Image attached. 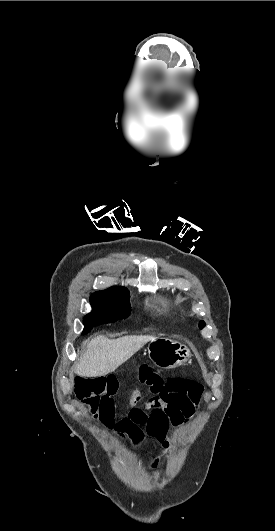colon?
Instances as JSON below:
<instances>
[{
	"mask_svg": "<svg viewBox=\"0 0 275 531\" xmlns=\"http://www.w3.org/2000/svg\"><path fill=\"white\" fill-rule=\"evenodd\" d=\"M76 389V397L81 402H88L90 409L85 413V418L90 423H95L100 418L99 397L102 396L105 387V380L100 375H93L88 378L85 375L76 377L73 381Z\"/></svg>",
	"mask_w": 275,
	"mask_h": 531,
	"instance_id": "colon-1",
	"label": "colon"
}]
</instances>
